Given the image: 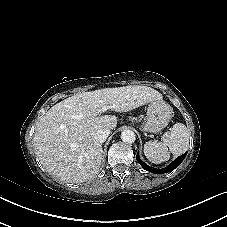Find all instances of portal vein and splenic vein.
<instances>
[{"instance_id":"portal-vein-and-splenic-vein-1","label":"portal vein and splenic vein","mask_w":227,"mask_h":227,"mask_svg":"<svg viewBox=\"0 0 227 227\" xmlns=\"http://www.w3.org/2000/svg\"><path fill=\"white\" fill-rule=\"evenodd\" d=\"M106 110H107L106 107H102L97 113H98V114H101L102 112H104V111H106Z\"/></svg>"}]
</instances>
